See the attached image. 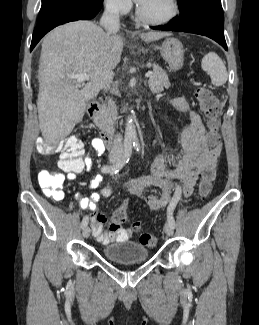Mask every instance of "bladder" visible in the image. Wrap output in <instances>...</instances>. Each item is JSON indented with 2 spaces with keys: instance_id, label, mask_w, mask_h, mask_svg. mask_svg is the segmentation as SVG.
I'll return each mask as SVG.
<instances>
[{
  "instance_id": "31cf9c89",
  "label": "bladder",
  "mask_w": 259,
  "mask_h": 325,
  "mask_svg": "<svg viewBox=\"0 0 259 325\" xmlns=\"http://www.w3.org/2000/svg\"><path fill=\"white\" fill-rule=\"evenodd\" d=\"M104 257L117 264L141 263L149 256L145 245L135 241H122L106 245L103 248Z\"/></svg>"
}]
</instances>
